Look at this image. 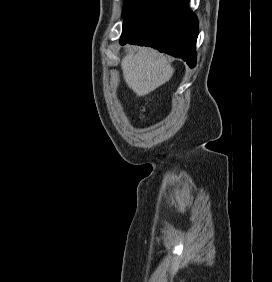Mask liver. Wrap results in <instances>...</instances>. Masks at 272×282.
<instances>
[{"instance_id":"liver-1","label":"liver","mask_w":272,"mask_h":282,"mask_svg":"<svg viewBox=\"0 0 272 282\" xmlns=\"http://www.w3.org/2000/svg\"><path fill=\"white\" fill-rule=\"evenodd\" d=\"M121 68L126 84L138 97L169 81L174 71L166 56L147 47L129 52L122 59Z\"/></svg>"}]
</instances>
